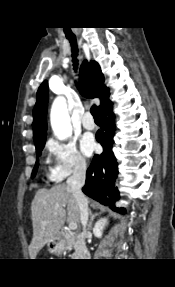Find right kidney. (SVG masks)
I'll list each match as a JSON object with an SVG mask.
<instances>
[{
  "label": "right kidney",
  "mask_w": 175,
  "mask_h": 287,
  "mask_svg": "<svg viewBox=\"0 0 175 287\" xmlns=\"http://www.w3.org/2000/svg\"><path fill=\"white\" fill-rule=\"evenodd\" d=\"M106 224H107L106 218H101L96 222V224L93 228V233L96 237L100 238L102 236L103 229H104Z\"/></svg>",
  "instance_id": "1"
}]
</instances>
